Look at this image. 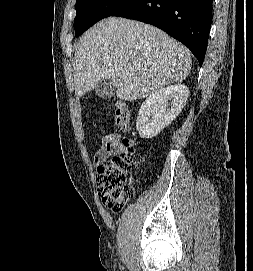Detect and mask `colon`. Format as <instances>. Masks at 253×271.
Masks as SVG:
<instances>
[{
	"label": "colon",
	"mask_w": 253,
	"mask_h": 271,
	"mask_svg": "<svg viewBox=\"0 0 253 271\" xmlns=\"http://www.w3.org/2000/svg\"><path fill=\"white\" fill-rule=\"evenodd\" d=\"M113 121L120 132L129 131L131 112L124 103H115ZM122 145L124 147L122 152L113 154L99 163L96 174L97 193L103 205L113 212H119L134 193L129 182L135 163L133 141L124 137Z\"/></svg>",
	"instance_id": "obj_1"
}]
</instances>
